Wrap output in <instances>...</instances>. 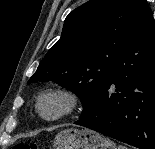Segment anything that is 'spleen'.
<instances>
[{
    "mask_svg": "<svg viewBox=\"0 0 155 149\" xmlns=\"http://www.w3.org/2000/svg\"><path fill=\"white\" fill-rule=\"evenodd\" d=\"M118 149H127V147H125V146H123V145H120V146L118 147Z\"/></svg>",
    "mask_w": 155,
    "mask_h": 149,
    "instance_id": "spleen-1",
    "label": "spleen"
}]
</instances>
